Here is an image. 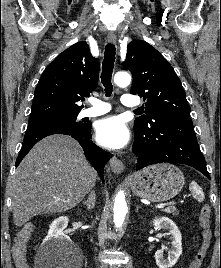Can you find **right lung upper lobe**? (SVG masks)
<instances>
[{"label": "right lung upper lobe", "mask_w": 221, "mask_h": 268, "mask_svg": "<svg viewBox=\"0 0 221 268\" xmlns=\"http://www.w3.org/2000/svg\"><path fill=\"white\" fill-rule=\"evenodd\" d=\"M99 69L84 41L60 53L39 79L30 118L78 114L83 108L78 102L98 85Z\"/></svg>", "instance_id": "obj_1"}]
</instances>
